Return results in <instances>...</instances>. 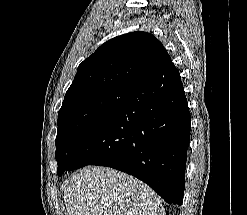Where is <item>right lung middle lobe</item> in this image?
I'll return each instance as SVG.
<instances>
[{"label":"right lung middle lobe","instance_id":"obj_1","mask_svg":"<svg viewBox=\"0 0 247 215\" xmlns=\"http://www.w3.org/2000/svg\"><path fill=\"white\" fill-rule=\"evenodd\" d=\"M132 90L119 88H91L65 95L58 113V132L55 140L57 174L69 167V156L78 140L90 128L117 111Z\"/></svg>","mask_w":247,"mask_h":215}]
</instances>
